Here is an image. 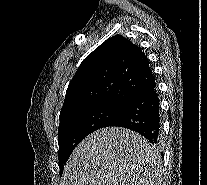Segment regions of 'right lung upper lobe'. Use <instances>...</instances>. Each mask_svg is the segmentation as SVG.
Returning a JSON list of instances; mask_svg holds the SVG:
<instances>
[{"mask_svg":"<svg viewBox=\"0 0 207 185\" xmlns=\"http://www.w3.org/2000/svg\"><path fill=\"white\" fill-rule=\"evenodd\" d=\"M154 82L141 48L121 35L113 36L81 62L66 91L60 120L103 104L122 107Z\"/></svg>","mask_w":207,"mask_h":185,"instance_id":"cb5924a9","label":"right lung upper lobe"}]
</instances>
